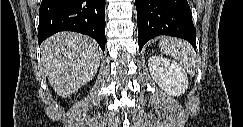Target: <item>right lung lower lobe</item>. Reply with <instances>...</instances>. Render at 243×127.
<instances>
[{
    "mask_svg": "<svg viewBox=\"0 0 243 127\" xmlns=\"http://www.w3.org/2000/svg\"><path fill=\"white\" fill-rule=\"evenodd\" d=\"M60 31H74L94 38L105 49V0H42L38 42Z\"/></svg>",
    "mask_w": 243,
    "mask_h": 127,
    "instance_id": "obj_1",
    "label": "right lung lower lobe"
}]
</instances>
